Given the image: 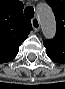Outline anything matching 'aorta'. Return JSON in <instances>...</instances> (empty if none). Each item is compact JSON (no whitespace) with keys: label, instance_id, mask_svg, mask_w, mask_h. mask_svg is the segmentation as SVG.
<instances>
[{"label":"aorta","instance_id":"762f6f07","mask_svg":"<svg viewBox=\"0 0 65 89\" xmlns=\"http://www.w3.org/2000/svg\"><path fill=\"white\" fill-rule=\"evenodd\" d=\"M37 14L44 37L53 38L56 33V20L51 7L44 3L40 4L37 7Z\"/></svg>","mask_w":65,"mask_h":89}]
</instances>
